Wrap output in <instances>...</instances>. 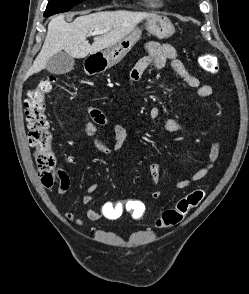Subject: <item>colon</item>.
Masks as SVG:
<instances>
[{
  "mask_svg": "<svg viewBox=\"0 0 249 294\" xmlns=\"http://www.w3.org/2000/svg\"><path fill=\"white\" fill-rule=\"evenodd\" d=\"M200 65L209 74L218 72L217 61L209 54L200 57ZM55 84V77L50 76L38 82L29 91L26 101L27 122L29 127V143L34 148V159L41 181L46 187H51L62 171L56 168V155L52 148L53 135L46 114L47 96ZM206 190L197 189L182 197L173 208L164 210L156 220V227L165 229L180 224L189 211L197 207L205 198ZM128 213L134 220L142 219L146 214L145 204L136 199H130L125 204H113L112 215L120 217Z\"/></svg>",
  "mask_w": 249,
  "mask_h": 294,
  "instance_id": "1",
  "label": "colon"
}]
</instances>
